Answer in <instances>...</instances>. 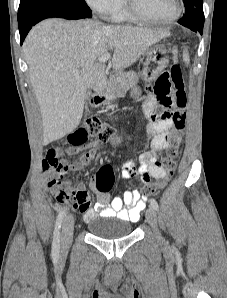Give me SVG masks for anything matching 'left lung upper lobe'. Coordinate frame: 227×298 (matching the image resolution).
Masks as SVG:
<instances>
[{
  "mask_svg": "<svg viewBox=\"0 0 227 298\" xmlns=\"http://www.w3.org/2000/svg\"><path fill=\"white\" fill-rule=\"evenodd\" d=\"M183 2L186 11L178 22L187 28H203V0H183Z\"/></svg>",
  "mask_w": 227,
  "mask_h": 298,
  "instance_id": "5c2ea615",
  "label": "left lung upper lobe"
}]
</instances>
